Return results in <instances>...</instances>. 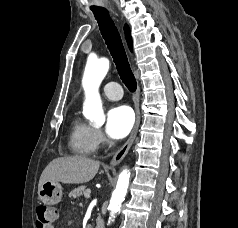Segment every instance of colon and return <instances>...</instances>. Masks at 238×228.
<instances>
[{"label": "colon", "instance_id": "5ec220e1", "mask_svg": "<svg viewBox=\"0 0 238 228\" xmlns=\"http://www.w3.org/2000/svg\"><path fill=\"white\" fill-rule=\"evenodd\" d=\"M57 218L55 208L47 205H40L36 209L37 228H51Z\"/></svg>", "mask_w": 238, "mask_h": 228}]
</instances>
